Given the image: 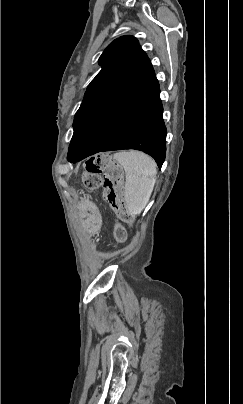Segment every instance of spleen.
Returning a JSON list of instances; mask_svg holds the SVG:
<instances>
[{"mask_svg": "<svg viewBox=\"0 0 243 404\" xmlns=\"http://www.w3.org/2000/svg\"><path fill=\"white\" fill-rule=\"evenodd\" d=\"M126 174L124 198L131 216H138L149 202L156 178L153 158L143 152H118L114 156Z\"/></svg>", "mask_w": 243, "mask_h": 404, "instance_id": "spleen-1", "label": "spleen"}]
</instances>
